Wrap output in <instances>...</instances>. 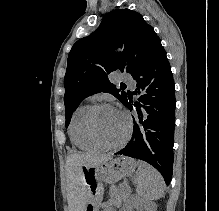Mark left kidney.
<instances>
[{"label": "left kidney", "mask_w": 219, "mask_h": 211, "mask_svg": "<svg viewBox=\"0 0 219 211\" xmlns=\"http://www.w3.org/2000/svg\"><path fill=\"white\" fill-rule=\"evenodd\" d=\"M132 207H136L138 211H143V209H145V211H153L151 207H148V205H146L145 201H141V199H137V197H134V199H132Z\"/></svg>", "instance_id": "left-kidney-1"}]
</instances>
